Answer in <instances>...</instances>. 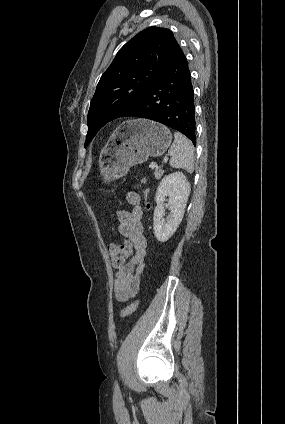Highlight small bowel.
Listing matches in <instances>:
<instances>
[{
	"label": "small bowel",
	"instance_id": "small-bowel-1",
	"mask_svg": "<svg viewBox=\"0 0 285 424\" xmlns=\"http://www.w3.org/2000/svg\"><path fill=\"white\" fill-rule=\"evenodd\" d=\"M126 202L132 206V211L118 210L119 233L131 244L134 254L120 265L116 266L114 275V295L118 301H127L135 297L139 291L141 276L145 269L144 259L147 253V240L142 223L141 196L138 192L129 191Z\"/></svg>",
	"mask_w": 285,
	"mask_h": 424
}]
</instances>
